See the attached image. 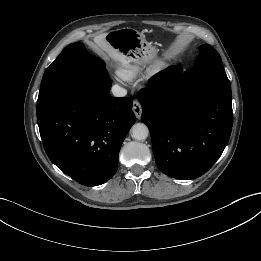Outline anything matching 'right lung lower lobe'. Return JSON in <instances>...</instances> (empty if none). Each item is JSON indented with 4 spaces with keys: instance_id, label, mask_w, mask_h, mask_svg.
I'll return each instance as SVG.
<instances>
[{
    "instance_id": "right-lung-lower-lobe-1",
    "label": "right lung lower lobe",
    "mask_w": 261,
    "mask_h": 261,
    "mask_svg": "<svg viewBox=\"0 0 261 261\" xmlns=\"http://www.w3.org/2000/svg\"><path fill=\"white\" fill-rule=\"evenodd\" d=\"M110 88L108 78L77 83L37 110L48 157L85 186L113 177L122 142L136 120L132 99L110 98Z\"/></svg>"
}]
</instances>
